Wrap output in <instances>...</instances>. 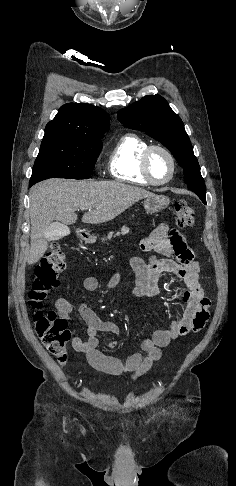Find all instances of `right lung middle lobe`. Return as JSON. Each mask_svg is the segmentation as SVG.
<instances>
[{
	"instance_id": "obj_1",
	"label": "right lung middle lobe",
	"mask_w": 236,
	"mask_h": 486,
	"mask_svg": "<svg viewBox=\"0 0 236 486\" xmlns=\"http://www.w3.org/2000/svg\"><path fill=\"white\" fill-rule=\"evenodd\" d=\"M102 149L100 139L44 134L30 184L48 178L88 179Z\"/></svg>"
}]
</instances>
